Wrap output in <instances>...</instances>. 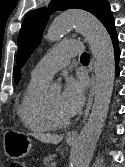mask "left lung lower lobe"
Returning a JSON list of instances; mask_svg holds the SVG:
<instances>
[{"mask_svg": "<svg viewBox=\"0 0 125 167\" xmlns=\"http://www.w3.org/2000/svg\"><path fill=\"white\" fill-rule=\"evenodd\" d=\"M106 29L112 39L114 52H115L116 74L118 76L119 75L118 62L120 59V50H119L118 37H117L114 22L111 25H109Z\"/></svg>", "mask_w": 125, "mask_h": 167, "instance_id": "obj_1", "label": "left lung lower lobe"}]
</instances>
